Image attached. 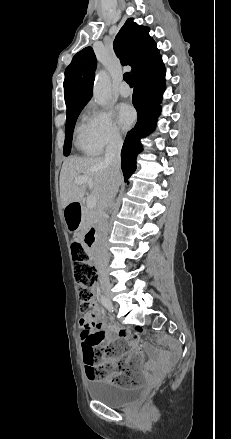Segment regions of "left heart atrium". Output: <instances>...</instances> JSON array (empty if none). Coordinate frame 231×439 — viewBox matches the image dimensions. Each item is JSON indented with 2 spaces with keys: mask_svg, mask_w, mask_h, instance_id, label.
I'll use <instances>...</instances> for the list:
<instances>
[{
  "mask_svg": "<svg viewBox=\"0 0 231 439\" xmlns=\"http://www.w3.org/2000/svg\"><path fill=\"white\" fill-rule=\"evenodd\" d=\"M118 124L123 128H129L135 120L134 110L127 104H120L116 109Z\"/></svg>",
  "mask_w": 231,
  "mask_h": 439,
  "instance_id": "1",
  "label": "left heart atrium"
}]
</instances>
